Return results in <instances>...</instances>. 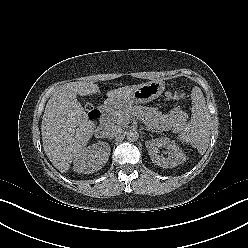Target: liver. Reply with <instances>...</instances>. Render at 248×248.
<instances>
[{"label":"liver","mask_w":248,"mask_h":248,"mask_svg":"<svg viewBox=\"0 0 248 248\" xmlns=\"http://www.w3.org/2000/svg\"><path fill=\"white\" fill-rule=\"evenodd\" d=\"M140 85L121 87L106 95L124 97ZM97 92L93 82H70L58 89L46 104L41 124L43 147L51 163L62 173L69 170L95 130V124L88 119L77 94L86 96Z\"/></svg>","instance_id":"obj_1"}]
</instances>
